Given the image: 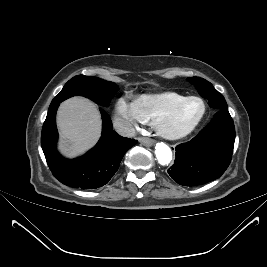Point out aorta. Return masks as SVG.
Masks as SVG:
<instances>
[{
    "instance_id": "aorta-1",
    "label": "aorta",
    "mask_w": 267,
    "mask_h": 267,
    "mask_svg": "<svg viewBox=\"0 0 267 267\" xmlns=\"http://www.w3.org/2000/svg\"><path fill=\"white\" fill-rule=\"evenodd\" d=\"M155 155L161 165H168L172 160V151L164 143H157L155 146Z\"/></svg>"
}]
</instances>
